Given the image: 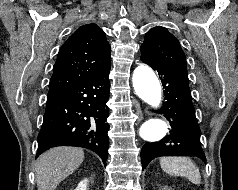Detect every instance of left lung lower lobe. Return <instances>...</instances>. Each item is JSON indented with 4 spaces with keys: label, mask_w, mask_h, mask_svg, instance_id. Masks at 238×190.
Instances as JSON below:
<instances>
[{
    "label": "left lung lower lobe",
    "mask_w": 238,
    "mask_h": 190,
    "mask_svg": "<svg viewBox=\"0 0 238 190\" xmlns=\"http://www.w3.org/2000/svg\"><path fill=\"white\" fill-rule=\"evenodd\" d=\"M141 60L158 72L163 84V113L170 122V133L162 140L147 143L141 150L142 168L161 156H194L206 161L200 142V128L192 103L185 67L168 65L141 56Z\"/></svg>",
    "instance_id": "left-lung-lower-lobe-1"
}]
</instances>
